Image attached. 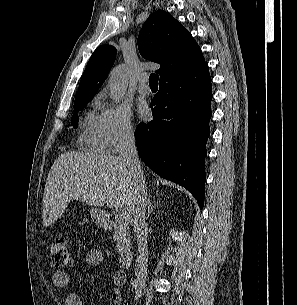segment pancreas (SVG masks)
Segmentation results:
<instances>
[{
	"label": "pancreas",
	"mask_w": 297,
	"mask_h": 305,
	"mask_svg": "<svg viewBox=\"0 0 297 305\" xmlns=\"http://www.w3.org/2000/svg\"><path fill=\"white\" fill-rule=\"evenodd\" d=\"M129 221L116 220V228L114 238L116 241L117 252L121 253L124 246L130 241L129 237Z\"/></svg>",
	"instance_id": "pancreas-1"
}]
</instances>
